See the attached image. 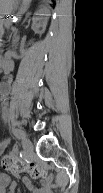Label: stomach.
I'll list each match as a JSON object with an SVG mask.
<instances>
[{
    "instance_id": "obj_1",
    "label": "stomach",
    "mask_w": 103,
    "mask_h": 193,
    "mask_svg": "<svg viewBox=\"0 0 103 193\" xmlns=\"http://www.w3.org/2000/svg\"><path fill=\"white\" fill-rule=\"evenodd\" d=\"M18 3V0H6V3L4 5V12H1L2 14H9L13 11V9L16 7Z\"/></svg>"
}]
</instances>
